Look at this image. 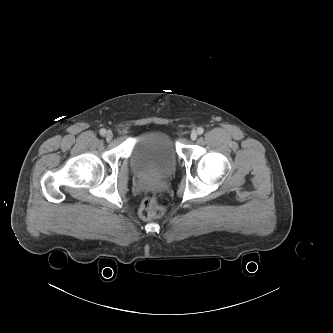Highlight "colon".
Wrapping results in <instances>:
<instances>
[{"mask_svg":"<svg viewBox=\"0 0 333 333\" xmlns=\"http://www.w3.org/2000/svg\"><path fill=\"white\" fill-rule=\"evenodd\" d=\"M164 214V207L157 201L155 194L147 192L139 209V215L144 220L160 218Z\"/></svg>","mask_w":333,"mask_h":333,"instance_id":"colon-1","label":"colon"}]
</instances>
